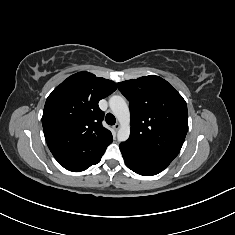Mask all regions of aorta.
Returning a JSON list of instances; mask_svg holds the SVG:
<instances>
[{
	"instance_id": "762f6f07",
	"label": "aorta",
	"mask_w": 235,
	"mask_h": 235,
	"mask_svg": "<svg viewBox=\"0 0 235 235\" xmlns=\"http://www.w3.org/2000/svg\"><path fill=\"white\" fill-rule=\"evenodd\" d=\"M109 106L120 123L117 133L119 141H126L130 136V111L123 97L114 95L109 99Z\"/></svg>"
}]
</instances>
